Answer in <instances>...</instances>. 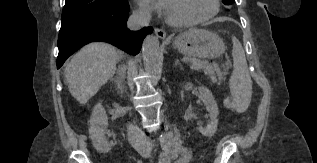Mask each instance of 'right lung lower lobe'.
Segmentation results:
<instances>
[{
    "instance_id": "right-lung-lower-lobe-1",
    "label": "right lung lower lobe",
    "mask_w": 317,
    "mask_h": 163,
    "mask_svg": "<svg viewBox=\"0 0 317 163\" xmlns=\"http://www.w3.org/2000/svg\"><path fill=\"white\" fill-rule=\"evenodd\" d=\"M129 5L114 9L94 11L79 18L63 21L58 37L59 54L57 68L83 45L93 41L111 43L128 53L140 51L144 37L152 31L151 27L132 32L127 29Z\"/></svg>"
}]
</instances>
